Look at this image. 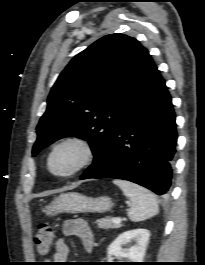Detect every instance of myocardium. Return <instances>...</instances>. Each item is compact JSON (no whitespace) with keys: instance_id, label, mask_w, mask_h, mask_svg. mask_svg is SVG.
Returning a JSON list of instances; mask_svg holds the SVG:
<instances>
[{"instance_id":"obj_1","label":"myocardium","mask_w":205,"mask_h":265,"mask_svg":"<svg viewBox=\"0 0 205 265\" xmlns=\"http://www.w3.org/2000/svg\"><path fill=\"white\" fill-rule=\"evenodd\" d=\"M69 144L75 145L79 148L81 152L80 159L77 162V164L69 171L64 173H57L53 171V169L51 168V158L57 149ZM94 158H95V148L93 144L88 139L82 136L72 135L60 139L50 147L45 158V167L50 175L56 178L66 179V178H71L77 175L78 173H80L81 171H83L84 169H86L88 166L91 165Z\"/></svg>"}]
</instances>
